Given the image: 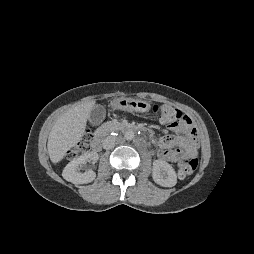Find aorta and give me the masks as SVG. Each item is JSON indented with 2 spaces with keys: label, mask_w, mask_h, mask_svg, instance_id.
Masks as SVG:
<instances>
[{
  "label": "aorta",
  "mask_w": 254,
  "mask_h": 254,
  "mask_svg": "<svg viewBox=\"0 0 254 254\" xmlns=\"http://www.w3.org/2000/svg\"><path fill=\"white\" fill-rule=\"evenodd\" d=\"M135 134L132 130L126 131L124 134V138L126 140H132L134 138Z\"/></svg>",
  "instance_id": "aorta-1"
}]
</instances>
